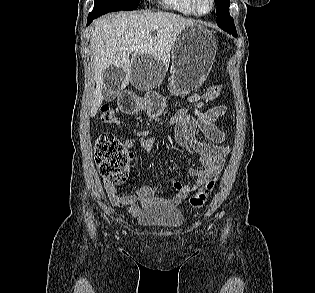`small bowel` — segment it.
<instances>
[{"instance_id":"1","label":"small bowel","mask_w":315,"mask_h":293,"mask_svg":"<svg viewBox=\"0 0 315 293\" xmlns=\"http://www.w3.org/2000/svg\"><path fill=\"white\" fill-rule=\"evenodd\" d=\"M220 94L203 97L197 93L188 97L189 102L194 104V115L182 114L173 117L170 121L174 128L176 143L186 152L196 156L201 168H191L189 174L196 178L194 185L183 184L174 180V195L169 198L157 197V187L153 184L144 185L137 189L135 194L121 195L115 185L105 183L110 202L117 207H127L132 215H137L142 209L163 204L177 206L182 203L190 193L198 190L210 178L219 174L224 166L225 157L229 148L222 144L226 140L225 132L215 125V121L227 113L223 105H216L207 110H202L207 103L214 101ZM197 131H201L210 142L201 141L197 138ZM140 146L145 153H150L156 140L153 137L142 136L139 139ZM127 147L134 146V140L126 141Z\"/></svg>"}]
</instances>
